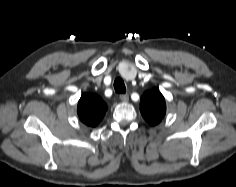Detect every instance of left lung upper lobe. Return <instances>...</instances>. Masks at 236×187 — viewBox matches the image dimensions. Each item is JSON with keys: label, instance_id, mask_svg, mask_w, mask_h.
Listing matches in <instances>:
<instances>
[{"label": "left lung upper lobe", "instance_id": "obj_1", "mask_svg": "<svg viewBox=\"0 0 236 187\" xmlns=\"http://www.w3.org/2000/svg\"><path fill=\"white\" fill-rule=\"evenodd\" d=\"M140 111L144 119L151 126L159 124L166 113L163 95L157 88L147 90L141 97Z\"/></svg>", "mask_w": 236, "mask_h": 187}]
</instances>
